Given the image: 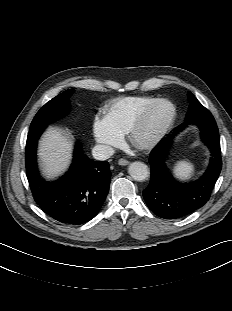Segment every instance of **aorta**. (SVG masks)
Here are the masks:
<instances>
[{
  "mask_svg": "<svg viewBox=\"0 0 232 311\" xmlns=\"http://www.w3.org/2000/svg\"><path fill=\"white\" fill-rule=\"evenodd\" d=\"M128 172L130 176L136 181H144L149 176L148 166L143 162H132L129 165Z\"/></svg>",
  "mask_w": 232,
  "mask_h": 311,
  "instance_id": "aorta-1",
  "label": "aorta"
}]
</instances>
